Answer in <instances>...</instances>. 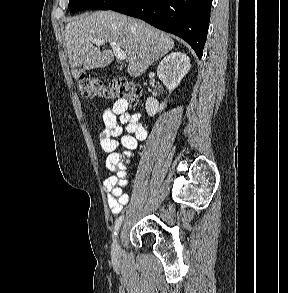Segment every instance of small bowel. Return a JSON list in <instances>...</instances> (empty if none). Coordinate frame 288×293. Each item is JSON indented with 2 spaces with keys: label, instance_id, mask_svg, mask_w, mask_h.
<instances>
[{
  "label": "small bowel",
  "instance_id": "c3829d8e",
  "mask_svg": "<svg viewBox=\"0 0 288 293\" xmlns=\"http://www.w3.org/2000/svg\"><path fill=\"white\" fill-rule=\"evenodd\" d=\"M128 108L126 100L116 101L104 111L99 126L100 146L107 153L106 167L112 172V175L104 180L103 188L113 214L120 213L129 201L124 192L128 182L127 169L138 142L147 138V130L140 121V114H130ZM119 145L125 149L122 153L117 152Z\"/></svg>",
  "mask_w": 288,
  "mask_h": 293
}]
</instances>
